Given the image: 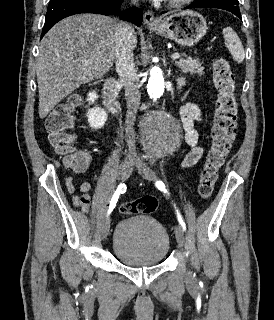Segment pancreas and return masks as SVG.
<instances>
[{"label": "pancreas", "mask_w": 274, "mask_h": 320, "mask_svg": "<svg viewBox=\"0 0 274 320\" xmlns=\"http://www.w3.org/2000/svg\"><path fill=\"white\" fill-rule=\"evenodd\" d=\"M176 66L180 68L181 72L184 74H199V76H203L204 68H202V64L200 62V58H189V56H185V58H180L178 62H176Z\"/></svg>", "instance_id": "1"}]
</instances>
